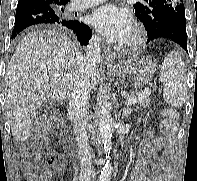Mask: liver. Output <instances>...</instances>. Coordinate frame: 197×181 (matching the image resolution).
<instances>
[{
	"label": "liver",
	"mask_w": 197,
	"mask_h": 181,
	"mask_svg": "<svg viewBox=\"0 0 197 181\" xmlns=\"http://www.w3.org/2000/svg\"><path fill=\"white\" fill-rule=\"evenodd\" d=\"M82 58L75 43L55 30L34 31L18 43L5 74L7 117L18 140L29 138L36 113L47 98H70ZM99 79L95 68L91 89L98 86Z\"/></svg>",
	"instance_id": "obj_1"
}]
</instances>
